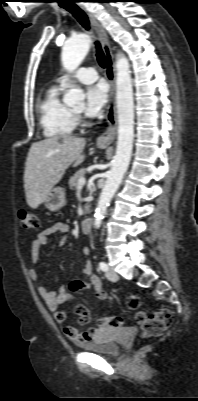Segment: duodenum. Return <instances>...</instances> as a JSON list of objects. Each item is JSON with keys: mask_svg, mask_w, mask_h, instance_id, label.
I'll list each match as a JSON object with an SVG mask.
<instances>
[{"mask_svg": "<svg viewBox=\"0 0 198 401\" xmlns=\"http://www.w3.org/2000/svg\"><path fill=\"white\" fill-rule=\"evenodd\" d=\"M93 220L91 217H86L81 222V230L83 233H89L92 228Z\"/></svg>", "mask_w": 198, "mask_h": 401, "instance_id": "410a0bca", "label": "duodenum"}]
</instances>
